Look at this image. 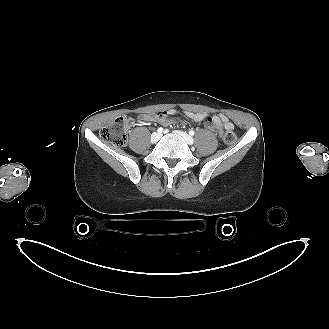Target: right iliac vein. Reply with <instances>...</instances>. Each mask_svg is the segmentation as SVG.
Returning a JSON list of instances; mask_svg holds the SVG:
<instances>
[{"label": "right iliac vein", "mask_w": 329, "mask_h": 329, "mask_svg": "<svg viewBox=\"0 0 329 329\" xmlns=\"http://www.w3.org/2000/svg\"><path fill=\"white\" fill-rule=\"evenodd\" d=\"M160 134L159 133H153L152 135H151V142L152 143H156L158 140H159V138H160Z\"/></svg>", "instance_id": "obj_1"}]
</instances>
